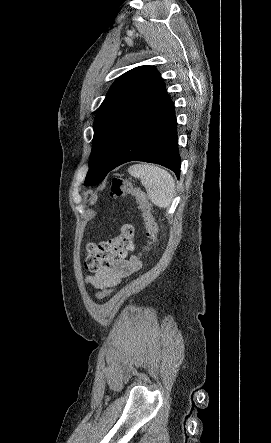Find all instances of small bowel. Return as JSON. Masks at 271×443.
I'll return each instance as SVG.
<instances>
[{
  "label": "small bowel",
  "mask_w": 271,
  "mask_h": 443,
  "mask_svg": "<svg viewBox=\"0 0 271 443\" xmlns=\"http://www.w3.org/2000/svg\"><path fill=\"white\" fill-rule=\"evenodd\" d=\"M139 268L140 261L137 257H119L107 263L94 275L88 276L86 282L96 289L113 287Z\"/></svg>",
  "instance_id": "obj_1"
}]
</instances>
